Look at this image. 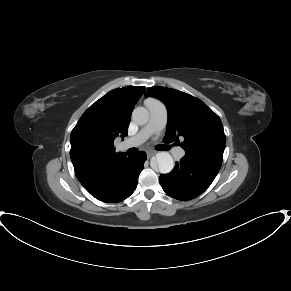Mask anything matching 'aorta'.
<instances>
[{"label": "aorta", "mask_w": 291, "mask_h": 291, "mask_svg": "<svg viewBox=\"0 0 291 291\" xmlns=\"http://www.w3.org/2000/svg\"><path fill=\"white\" fill-rule=\"evenodd\" d=\"M132 120L138 125H144L149 120V112L144 107H136L132 113ZM156 162L158 170L162 174H167L172 171L174 161L168 152H159L156 154Z\"/></svg>", "instance_id": "762f6f07"}]
</instances>
